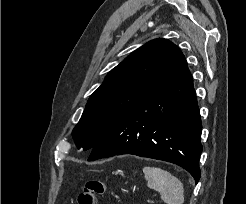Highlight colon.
<instances>
[{"label": "colon", "mask_w": 246, "mask_h": 204, "mask_svg": "<svg viewBox=\"0 0 246 204\" xmlns=\"http://www.w3.org/2000/svg\"><path fill=\"white\" fill-rule=\"evenodd\" d=\"M106 185L103 181L92 179L86 182L78 195V204H96L98 197L103 195Z\"/></svg>", "instance_id": "1"}]
</instances>
